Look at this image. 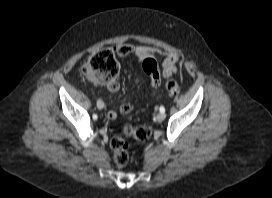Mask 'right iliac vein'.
Listing matches in <instances>:
<instances>
[{
	"instance_id": "obj_1",
	"label": "right iliac vein",
	"mask_w": 272,
	"mask_h": 198,
	"mask_svg": "<svg viewBox=\"0 0 272 198\" xmlns=\"http://www.w3.org/2000/svg\"><path fill=\"white\" fill-rule=\"evenodd\" d=\"M98 108L101 109V108H103V107H101V106L98 105Z\"/></svg>"
}]
</instances>
